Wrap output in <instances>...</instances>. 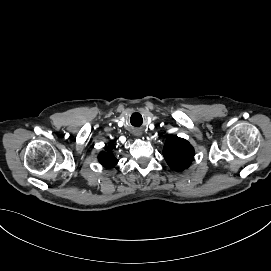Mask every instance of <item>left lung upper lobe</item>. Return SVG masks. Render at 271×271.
Returning <instances> with one entry per match:
<instances>
[{"mask_svg": "<svg viewBox=\"0 0 271 271\" xmlns=\"http://www.w3.org/2000/svg\"><path fill=\"white\" fill-rule=\"evenodd\" d=\"M163 156L172 170L181 172L192 163L194 149L187 140L171 135L166 139Z\"/></svg>", "mask_w": 271, "mask_h": 271, "instance_id": "left-lung-upper-lobe-1", "label": "left lung upper lobe"}]
</instances>
